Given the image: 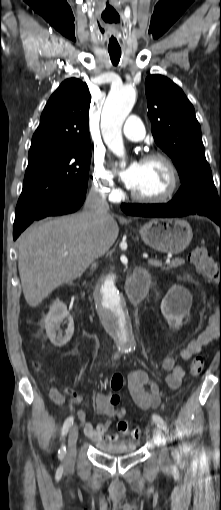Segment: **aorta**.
I'll list each match as a JSON object with an SVG mask.
<instances>
[{
  "instance_id": "aorta-1",
  "label": "aorta",
  "mask_w": 221,
  "mask_h": 510,
  "mask_svg": "<svg viewBox=\"0 0 221 510\" xmlns=\"http://www.w3.org/2000/svg\"><path fill=\"white\" fill-rule=\"evenodd\" d=\"M136 100L131 85L114 88L108 94L101 114V131L108 148L119 157L124 156L122 125ZM98 308L108 329L122 348L134 345L132 324L126 299L114 275L107 276L98 286Z\"/></svg>"
}]
</instances>
